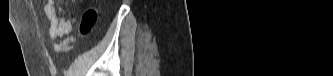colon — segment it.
Returning a JSON list of instances; mask_svg holds the SVG:
<instances>
[{
    "label": "colon",
    "mask_w": 333,
    "mask_h": 76,
    "mask_svg": "<svg viewBox=\"0 0 333 76\" xmlns=\"http://www.w3.org/2000/svg\"><path fill=\"white\" fill-rule=\"evenodd\" d=\"M97 21V13L94 9L86 10L80 20L78 32L80 35H88L94 28ZM74 37L69 36L57 45L58 52L69 50L73 44Z\"/></svg>",
    "instance_id": "1"
}]
</instances>
